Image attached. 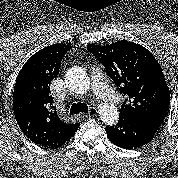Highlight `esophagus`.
Masks as SVG:
<instances>
[{
	"mask_svg": "<svg viewBox=\"0 0 178 178\" xmlns=\"http://www.w3.org/2000/svg\"><path fill=\"white\" fill-rule=\"evenodd\" d=\"M97 113V109L96 108H91L88 112V114L86 115V117L88 116H93ZM80 117H82L80 114H79Z\"/></svg>",
	"mask_w": 178,
	"mask_h": 178,
	"instance_id": "34e87169",
	"label": "esophagus"
}]
</instances>
